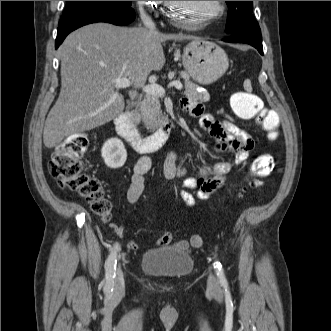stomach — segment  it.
I'll list each match as a JSON object with an SVG mask.
<instances>
[{"label": "stomach", "mask_w": 331, "mask_h": 331, "mask_svg": "<svg viewBox=\"0 0 331 331\" xmlns=\"http://www.w3.org/2000/svg\"><path fill=\"white\" fill-rule=\"evenodd\" d=\"M182 62L187 73L203 85L218 80L229 66L228 56L220 46L200 38L186 45Z\"/></svg>", "instance_id": "1"}]
</instances>
